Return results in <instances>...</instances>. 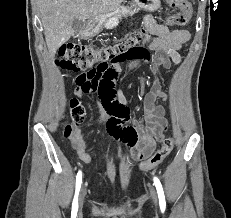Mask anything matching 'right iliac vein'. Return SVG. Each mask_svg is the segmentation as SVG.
Returning <instances> with one entry per match:
<instances>
[{
  "label": "right iliac vein",
  "instance_id": "right-iliac-vein-1",
  "mask_svg": "<svg viewBox=\"0 0 231 218\" xmlns=\"http://www.w3.org/2000/svg\"><path fill=\"white\" fill-rule=\"evenodd\" d=\"M85 195H86V187L83 185L81 190H80V194H79V208L80 209L83 206Z\"/></svg>",
  "mask_w": 231,
  "mask_h": 218
}]
</instances>
